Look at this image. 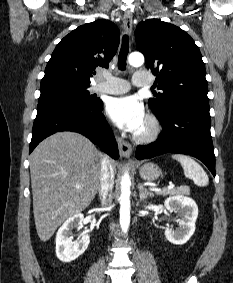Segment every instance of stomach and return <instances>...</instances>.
<instances>
[{
    "instance_id": "stomach-1",
    "label": "stomach",
    "mask_w": 233,
    "mask_h": 283,
    "mask_svg": "<svg viewBox=\"0 0 233 283\" xmlns=\"http://www.w3.org/2000/svg\"><path fill=\"white\" fill-rule=\"evenodd\" d=\"M140 177L145 181L157 180L162 172L161 169L154 163H146L139 169Z\"/></svg>"
}]
</instances>
